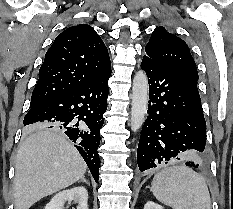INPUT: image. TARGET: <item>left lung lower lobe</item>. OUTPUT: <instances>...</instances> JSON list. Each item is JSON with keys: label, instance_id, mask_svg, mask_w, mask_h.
<instances>
[{"label": "left lung lower lobe", "instance_id": "obj_1", "mask_svg": "<svg viewBox=\"0 0 233 209\" xmlns=\"http://www.w3.org/2000/svg\"><path fill=\"white\" fill-rule=\"evenodd\" d=\"M141 68L148 77L149 104L137 150L139 170L173 160L197 168L200 159L186 154L204 152L206 143L198 79L148 56L143 57Z\"/></svg>", "mask_w": 233, "mask_h": 209}]
</instances>
